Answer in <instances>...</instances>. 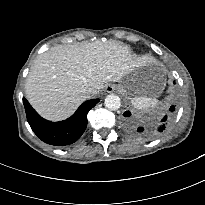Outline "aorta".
<instances>
[{
  "instance_id": "1",
  "label": "aorta",
  "mask_w": 205,
  "mask_h": 205,
  "mask_svg": "<svg viewBox=\"0 0 205 205\" xmlns=\"http://www.w3.org/2000/svg\"><path fill=\"white\" fill-rule=\"evenodd\" d=\"M104 103H105L106 108L112 111L118 110L121 106V100L119 96L115 94L107 95Z\"/></svg>"
}]
</instances>
